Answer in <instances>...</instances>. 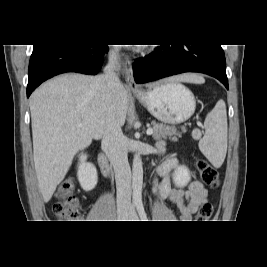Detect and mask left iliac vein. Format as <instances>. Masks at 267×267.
I'll use <instances>...</instances> for the list:
<instances>
[{
	"label": "left iliac vein",
	"mask_w": 267,
	"mask_h": 267,
	"mask_svg": "<svg viewBox=\"0 0 267 267\" xmlns=\"http://www.w3.org/2000/svg\"><path fill=\"white\" fill-rule=\"evenodd\" d=\"M129 216H130L131 219H133L135 221L138 220V216H137V213H136L134 208H130Z\"/></svg>",
	"instance_id": "obj_1"
}]
</instances>
